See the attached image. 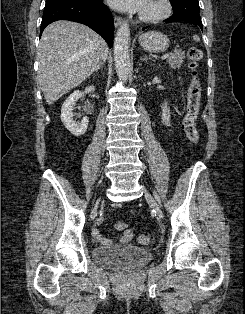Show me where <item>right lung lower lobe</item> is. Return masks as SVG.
I'll use <instances>...</instances> for the list:
<instances>
[{"label": "right lung lower lobe", "instance_id": "obj_1", "mask_svg": "<svg viewBox=\"0 0 245 314\" xmlns=\"http://www.w3.org/2000/svg\"><path fill=\"white\" fill-rule=\"evenodd\" d=\"M103 0H46L40 34L57 20H70L89 26L111 47L114 34L113 17Z\"/></svg>", "mask_w": 245, "mask_h": 314}]
</instances>
